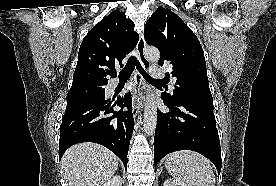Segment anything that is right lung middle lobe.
Wrapping results in <instances>:
<instances>
[{"label": "right lung middle lobe", "instance_id": "1", "mask_svg": "<svg viewBox=\"0 0 276 186\" xmlns=\"http://www.w3.org/2000/svg\"><path fill=\"white\" fill-rule=\"evenodd\" d=\"M105 88L101 85H85L70 89L67 94V107L105 102Z\"/></svg>", "mask_w": 276, "mask_h": 186}]
</instances>
